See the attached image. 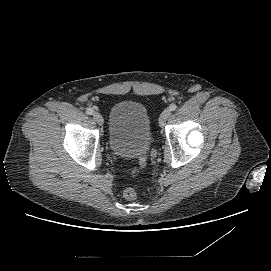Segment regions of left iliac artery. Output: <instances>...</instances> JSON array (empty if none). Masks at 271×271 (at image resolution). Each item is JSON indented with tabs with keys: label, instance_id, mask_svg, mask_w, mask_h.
I'll list each match as a JSON object with an SVG mask.
<instances>
[{
	"label": "left iliac artery",
	"instance_id": "44dca946",
	"mask_svg": "<svg viewBox=\"0 0 271 271\" xmlns=\"http://www.w3.org/2000/svg\"><path fill=\"white\" fill-rule=\"evenodd\" d=\"M177 109V105L176 104H171L170 106H169V110L170 111H175Z\"/></svg>",
	"mask_w": 271,
	"mask_h": 271
}]
</instances>
